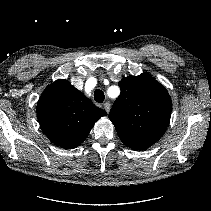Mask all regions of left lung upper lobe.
Returning <instances> with one entry per match:
<instances>
[{"label": "left lung upper lobe", "instance_id": "left-lung-upper-lobe-1", "mask_svg": "<svg viewBox=\"0 0 211 211\" xmlns=\"http://www.w3.org/2000/svg\"><path fill=\"white\" fill-rule=\"evenodd\" d=\"M109 114L121 141L134 150L147 149L165 133L172 102L167 90L151 75L123 78Z\"/></svg>", "mask_w": 211, "mask_h": 211}]
</instances>
